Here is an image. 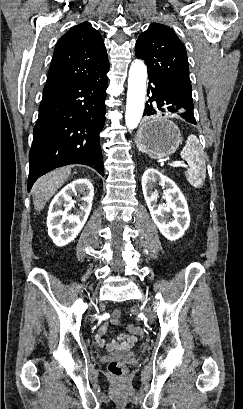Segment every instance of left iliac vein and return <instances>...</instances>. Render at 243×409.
Masks as SVG:
<instances>
[{"mask_svg": "<svg viewBox=\"0 0 243 409\" xmlns=\"http://www.w3.org/2000/svg\"><path fill=\"white\" fill-rule=\"evenodd\" d=\"M146 313H147V315L149 316V318H150V311L147 309L146 310Z\"/></svg>", "mask_w": 243, "mask_h": 409, "instance_id": "1", "label": "left iliac vein"}]
</instances>
